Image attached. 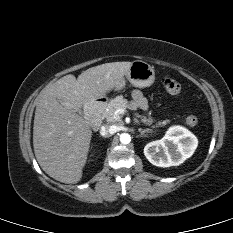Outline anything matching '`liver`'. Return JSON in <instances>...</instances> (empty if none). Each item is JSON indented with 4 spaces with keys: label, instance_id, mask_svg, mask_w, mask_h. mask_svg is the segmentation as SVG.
<instances>
[{
    "label": "liver",
    "instance_id": "liver-1",
    "mask_svg": "<svg viewBox=\"0 0 233 233\" xmlns=\"http://www.w3.org/2000/svg\"><path fill=\"white\" fill-rule=\"evenodd\" d=\"M132 62H112L66 75L46 86L36 98L33 147L40 167L53 179L75 184L82 178L92 137L78 111L106 96Z\"/></svg>",
    "mask_w": 233,
    "mask_h": 233
}]
</instances>
